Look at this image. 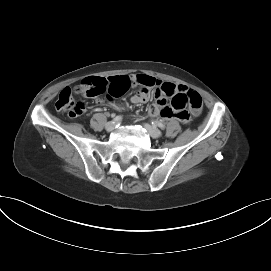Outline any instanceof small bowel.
<instances>
[{
	"label": "small bowel",
	"instance_id": "obj_1",
	"mask_svg": "<svg viewBox=\"0 0 271 271\" xmlns=\"http://www.w3.org/2000/svg\"><path fill=\"white\" fill-rule=\"evenodd\" d=\"M97 84H89L92 82ZM80 93L85 97H95L99 102L102 94L109 99H121L128 94L135 85H140L139 91L130 97L133 104H142L149 101L152 95L156 101L149 107V113L152 116H162L165 119H177L183 123L189 121V113L185 109H177L171 103L167 102L168 97H174L176 94H184L188 88L184 85H175L170 82H163L152 76L145 74H131L129 76H111L107 78L90 77L81 83ZM186 115L187 117H184Z\"/></svg>",
	"mask_w": 271,
	"mask_h": 271
}]
</instances>
